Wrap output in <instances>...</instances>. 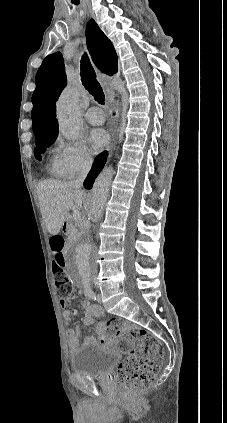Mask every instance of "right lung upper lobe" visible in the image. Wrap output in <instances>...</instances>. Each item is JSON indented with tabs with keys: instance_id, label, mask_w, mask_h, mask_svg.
<instances>
[{
	"instance_id": "1",
	"label": "right lung upper lobe",
	"mask_w": 227,
	"mask_h": 423,
	"mask_svg": "<svg viewBox=\"0 0 227 423\" xmlns=\"http://www.w3.org/2000/svg\"><path fill=\"white\" fill-rule=\"evenodd\" d=\"M87 48L94 64L102 72H117V55L111 41L94 21L86 28ZM66 74L61 53L47 56L36 74V89L31 112L35 138L58 135L55 103L66 86Z\"/></svg>"
}]
</instances>
